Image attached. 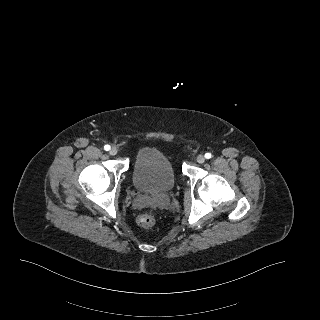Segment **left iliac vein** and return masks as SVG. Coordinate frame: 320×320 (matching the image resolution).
<instances>
[{"label":"left iliac vein","mask_w":320,"mask_h":320,"mask_svg":"<svg viewBox=\"0 0 320 320\" xmlns=\"http://www.w3.org/2000/svg\"><path fill=\"white\" fill-rule=\"evenodd\" d=\"M196 161L200 164L205 162V157L203 155H198Z\"/></svg>","instance_id":"obj_1"}]
</instances>
